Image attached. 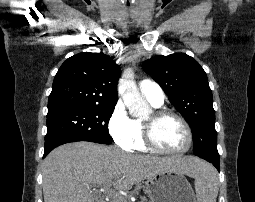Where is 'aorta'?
<instances>
[{
	"instance_id": "aorta-1",
	"label": "aorta",
	"mask_w": 255,
	"mask_h": 202,
	"mask_svg": "<svg viewBox=\"0 0 255 202\" xmlns=\"http://www.w3.org/2000/svg\"><path fill=\"white\" fill-rule=\"evenodd\" d=\"M133 77L134 74L131 69L124 71L121 81L122 98L132 116L145 117L149 113V105L146 100L142 98Z\"/></svg>"
}]
</instances>
